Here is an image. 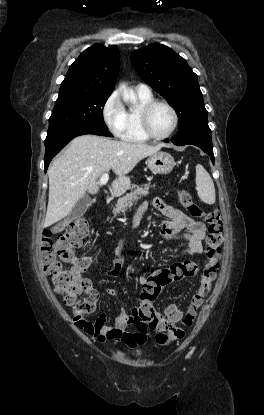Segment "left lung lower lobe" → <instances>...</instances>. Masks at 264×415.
<instances>
[{
	"mask_svg": "<svg viewBox=\"0 0 264 415\" xmlns=\"http://www.w3.org/2000/svg\"><path fill=\"white\" fill-rule=\"evenodd\" d=\"M172 142L177 146L183 145H195L201 148L205 153H207L212 163L214 164V154H213V145L211 140V130L207 123H201L193 125L182 132H179L176 136L172 137L170 140L166 139L164 142Z\"/></svg>",
	"mask_w": 264,
	"mask_h": 415,
	"instance_id": "0a47b994",
	"label": "left lung lower lobe"
}]
</instances>
